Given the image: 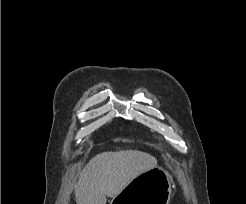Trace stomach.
Returning a JSON list of instances; mask_svg holds the SVG:
<instances>
[{
	"mask_svg": "<svg viewBox=\"0 0 246 204\" xmlns=\"http://www.w3.org/2000/svg\"><path fill=\"white\" fill-rule=\"evenodd\" d=\"M171 187L169 173L156 166L131 180L111 204H169Z\"/></svg>",
	"mask_w": 246,
	"mask_h": 204,
	"instance_id": "obj_1",
	"label": "stomach"
}]
</instances>
